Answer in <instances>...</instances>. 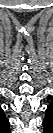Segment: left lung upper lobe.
Masks as SVG:
<instances>
[{"instance_id": "obj_1", "label": "left lung upper lobe", "mask_w": 53, "mask_h": 133, "mask_svg": "<svg viewBox=\"0 0 53 133\" xmlns=\"http://www.w3.org/2000/svg\"><path fill=\"white\" fill-rule=\"evenodd\" d=\"M52 117H53V105L51 104L48 106V108L46 110V116H45L43 125L47 126V125L51 124L53 122Z\"/></svg>"}]
</instances>
